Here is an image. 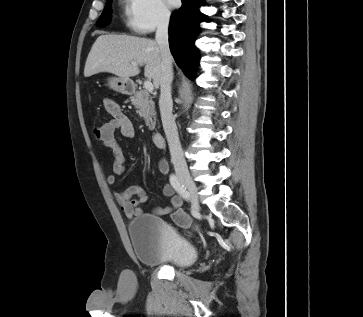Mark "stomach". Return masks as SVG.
I'll list each match as a JSON object with an SVG mask.
<instances>
[{"label":"stomach","instance_id":"stomach-1","mask_svg":"<svg viewBox=\"0 0 363 317\" xmlns=\"http://www.w3.org/2000/svg\"><path fill=\"white\" fill-rule=\"evenodd\" d=\"M110 89L122 94H130L133 90V84L129 79L120 77H110L107 80Z\"/></svg>","mask_w":363,"mask_h":317}]
</instances>
